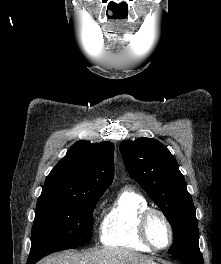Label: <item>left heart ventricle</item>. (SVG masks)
<instances>
[{"mask_svg": "<svg viewBox=\"0 0 221 264\" xmlns=\"http://www.w3.org/2000/svg\"><path fill=\"white\" fill-rule=\"evenodd\" d=\"M149 234L157 246H164L169 240L168 228L158 215H154L150 219Z\"/></svg>", "mask_w": 221, "mask_h": 264, "instance_id": "b2bd125f", "label": "left heart ventricle"}]
</instances>
